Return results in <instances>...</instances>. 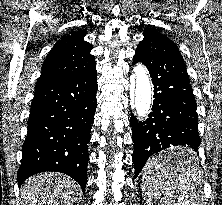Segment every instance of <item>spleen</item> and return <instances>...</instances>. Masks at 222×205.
Here are the masks:
<instances>
[{
  "instance_id": "3e777b00",
  "label": "spleen",
  "mask_w": 222,
  "mask_h": 205,
  "mask_svg": "<svg viewBox=\"0 0 222 205\" xmlns=\"http://www.w3.org/2000/svg\"><path fill=\"white\" fill-rule=\"evenodd\" d=\"M202 184V173L191 160L158 154L143 168L147 205H205Z\"/></svg>"
}]
</instances>
